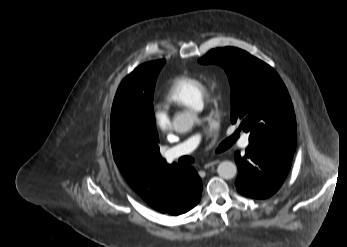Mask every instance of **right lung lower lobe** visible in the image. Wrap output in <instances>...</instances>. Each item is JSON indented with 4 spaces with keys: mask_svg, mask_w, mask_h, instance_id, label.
<instances>
[{
    "mask_svg": "<svg viewBox=\"0 0 347 247\" xmlns=\"http://www.w3.org/2000/svg\"><path fill=\"white\" fill-rule=\"evenodd\" d=\"M180 170L183 179L177 192L178 197L171 208L165 212L168 215H180L188 212L199 203L201 198L202 183L194 168L182 165Z\"/></svg>",
    "mask_w": 347,
    "mask_h": 247,
    "instance_id": "98d812e1",
    "label": "right lung lower lobe"
}]
</instances>
